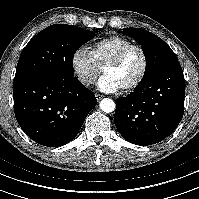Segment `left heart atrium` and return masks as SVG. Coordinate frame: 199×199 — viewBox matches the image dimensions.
I'll return each instance as SVG.
<instances>
[{
  "label": "left heart atrium",
  "instance_id": "left-heart-atrium-1",
  "mask_svg": "<svg viewBox=\"0 0 199 199\" xmlns=\"http://www.w3.org/2000/svg\"><path fill=\"white\" fill-rule=\"evenodd\" d=\"M100 91L113 93L120 89V86L109 76L103 75L97 83Z\"/></svg>",
  "mask_w": 199,
  "mask_h": 199
}]
</instances>
